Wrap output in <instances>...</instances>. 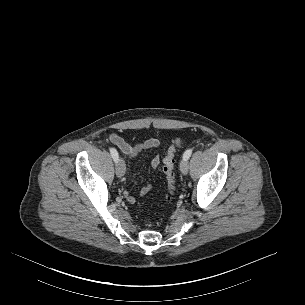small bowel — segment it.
<instances>
[{"label":"small bowel","mask_w":305,"mask_h":305,"mask_svg":"<svg viewBox=\"0 0 305 305\" xmlns=\"http://www.w3.org/2000/svg\"><path fill=\"white\" fill-rule=\"evenodd\" d=\"M109 141L114 144L125 156L129 158H135L142 152L157 148L160 145V141L157 138H149L142 142L136 143V144H130L126 142L121 136H119L116 133H111L109 135ZM161 163V159L159 155H155L151 160V168L153 170H156ZM153 185L151 183H148L145 185L139 192L140 196L146 195L151 189ZM125 198L128 202L134 203L136 198L134 195L125 192Z\"/></svg>","instance_id":"1"}]
</instances>
